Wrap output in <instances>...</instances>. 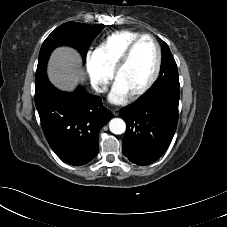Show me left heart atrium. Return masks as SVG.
I'll list each match as a JSON object with an SVG mask.
<instances>
[{"instance_id":"left-heart-atrium-1","label":"left heart atrium","mask_w":227,"mask_h":227,"mask_svg":"<svg viewBox=\"0 0 227 227\" xmlns=\"http://www.w3.org/2000/svg\"><path fill=\"white\" fill-rule=\"evenodd\" d=\"M127 97V93L117 84L114 85L109 99L113 103H121L123 102Z\"/></svg>"}]
</instances>
